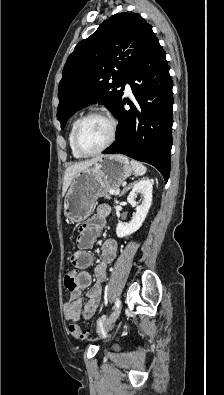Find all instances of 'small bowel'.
Masks as SVG:
<instances>
[{"label": "small bowel", "instance_id": "c3829d8e", "mask_svg": "<svg viewBox=\"0 0 224 395\" xmlns=\"http://www.w3.org/2000/svg\"><path fill=\"white\" fill-rule=\"evenodd\" d=\"M109 208L102 206L96 215L91 217L81 228L77 245L79 250L72 257L71 262L74 266L82 271L77 275L76 288L71 291L69 300L64 304V316L68 321H77L81 316L84 319H90L94 316L100 305L102 298V283L107 276V267L116 259L118 252V244L114 240H105L101 246V257L99 263L94 268L95 283L91 286L92 276L85 271L94 261V257L90 252L105 221L109 215ZM88 301L83 305L81 295L86 288Z\"/></svg>", "mask_w": 224, "mask_h": 395}]
</instances>
